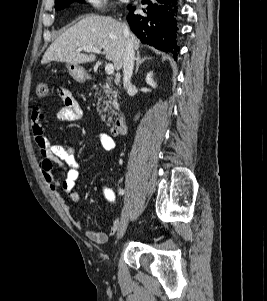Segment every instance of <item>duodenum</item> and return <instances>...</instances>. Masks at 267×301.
Listing matches in <instances>:
<instances>
[{"mask_svg":"<svg viewBox=\"0 0 267 301\" xmlns=\"http://www.w3.org/2000/svg\"><path fill=\"white\" fill-rule=\"evenodd\" d=\"M126 129V118L123 114H119L115 120L112 131L114 134L118 135L125 131Z\"/></svg>","mask_w":267,"mask_h":301,"instance_id":"1","label":"duodenum"}]
</instances>
